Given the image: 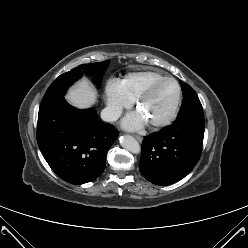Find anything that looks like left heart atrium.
<instances>
[{
	"instance_id": "39dd6f15",
	"label": "left heart atrium",
	"mask_w": 248,
	"mask_h": 248,
	"mask_svg": "<svg viewBox=\"0 0 248 248\" xmlns=\"http://www.w3.org/2000/svg\"><path fill=\"white\" fill-rule=\"evenodd\" d=\"M145 124L146 119L138 111H133L129 113L123 120V126L126 129L133 131L141 130L145 126Z\"/></svg>"
}]
</instances>
